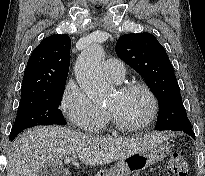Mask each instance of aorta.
<instances>
[{
	"label": "aorta",
	"instance_id": "762f6f07",
	"mask_svg": "<svg viewBox=\"0 0 205 176\" xmlns=\"http://www.w3.org/2000/svg\"><path fill=\"white\" fill-rule=\"evenodd\" d=\"M103 47L93 44L85 49L75 64V77L80 88L96 103H102L109 95L110 88L102 75Z\"/></svg>",
	"mask_w": 205,
	"mask_h": 176
}]
</instances>
